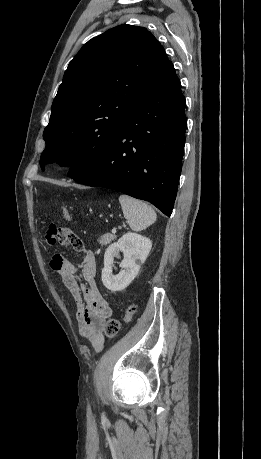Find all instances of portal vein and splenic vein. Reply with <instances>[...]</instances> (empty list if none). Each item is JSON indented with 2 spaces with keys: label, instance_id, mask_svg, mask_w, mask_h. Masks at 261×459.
<instances>
[{
  "label": "portal vein and splenic vein",
  "instance_id": "18ae733b",
  "mask_svg": "<svg viewBox=\"0 0 261 459\" xmlns=\"http://www.w3.org/2000/svg\"><path fill=\"white\" fill-rule=\"evenodd\" d=\"M112 233H114V234L116 233V229L115 228L112 229Z\"/></svg>",
  "mask_w": 261,
  "mask_h": 459
}]
</instances>
